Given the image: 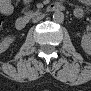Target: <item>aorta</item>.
Returning a JSON list of instances; mask_svg holds the SVG:
<instances>
[{
  "mask_svg": "<svg viewBox=\"0 0 91 91\" xmlns=\"http://www.w3.org/2000/svg\"><path fill=\"white\" fill-rule=\"evenodd\" d=\"M53 21L56 23H62L64 21V14L60 11L54 12Z\"/></svg>",
  "mask_w": 91,
  "mask_h": 91,
  "instance_id": "obj_1",
  "label": "aorta"
}]
</instances>
